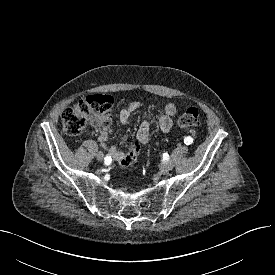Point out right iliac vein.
Instances as JSON below:
<instances>
[{
    "label": "right iliac vein",
    "mask_w": 275,
    "mask_h": 275,
    "mask_svg": "<svg viewBox=\"0 0 275 275\" xmlns=\"http://www.w3.org/2000/svg\"><path fill=\"white\" fill-rule=\"evenodd\" d=\"M96 158H97V160L102 161L103 158H104V154H103L102 152H98V153L96 154Z\"/></svg>",
    "instance_id": "obj_1"
}]
</instances>
